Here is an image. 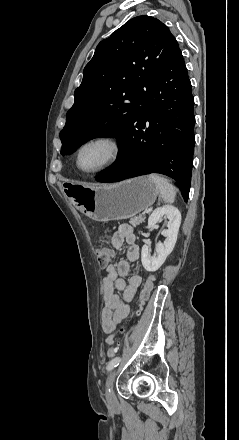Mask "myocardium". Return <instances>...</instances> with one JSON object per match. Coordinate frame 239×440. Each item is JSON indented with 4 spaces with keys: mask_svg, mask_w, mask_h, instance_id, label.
<instances>
[{
    "mask_svg": "<svg viewBox=\"0 0 239 440\" xmlns=\"http://www.w3.org/2000/svg\"><path fill=\"white\" fill-rule=\"evenodd\" d=\"M94 143L107 144L111 150L110 157L103 165H101L100 167H98L96 169L82 170L79 165L81 153L87 146L94 144ZM122 152H123V146H122L120 139L117 136H115L113 134H109V133L97 134V135L89 137L88 139H86L85 141H83L81 143V145L79 146V148L77 149V152H76L75 165H76L77 169L79 170V172H81L82 174H86V175L99 174V173H102V172L112 168L114 165H116L117 162L119 161V159L121 158Z\"/></svg>",
    "mask_w": 239,
    "mask_h": 440,
    "instance_id": "f54148a6",
    "label": "myocardium"
}]
</instances>
